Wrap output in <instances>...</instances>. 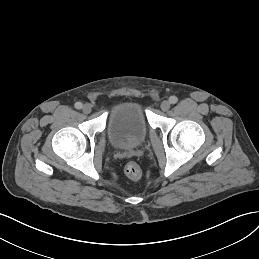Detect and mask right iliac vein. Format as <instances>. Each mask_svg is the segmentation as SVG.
Masks as SVG:
<instances>
[{
  "instance_id": "right-iliac-vein-1",
  "label": "right iliac vein",
  "mask_w": 259,
  "mask_h": 259,
  "mask_svg": "<svg viewBox=\"0 0 259 259\" xmlns=\"http://www.w3.org/2000/svg\"><path fill=\"white\" fill-rule=\"evenodd\" d=\"M92 108L89 104H85L82 108L83 113L89 114L91 112Z\"/></svg>"
}]
</instances>
